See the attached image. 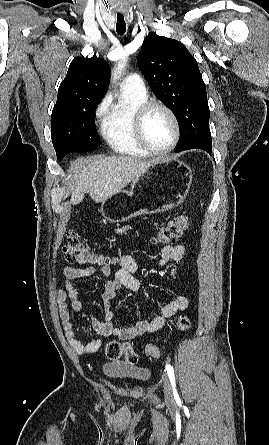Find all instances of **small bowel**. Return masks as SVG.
Segmentation results:
<instances>
[{"instance_id":"c3829d8e","label":"small bowel","mask_w":269,"mask_h":445,"mask_svg":"<svg viewBox=\"0 0 269 445\" xmlns=\"http://www.w3.org/2000/svg\"><path fill=\"white\" fill-rule=\"evenodd\" d=\"M128 227L119 229V232L127 230ZM185 255V247L181 244L175 246H165L160 253L159 265L169 266V275L176 277L175 264L181 261ZM119 269L111 276L110 267L73 268L66 266L63 268L64 289L57 291L59 315L64 329L65 337L69 345L77 354L93 353L100 349L101 341L93 339L88 342L80 340L75 333V325L71 321V312L81 313L83 303L80 300L79 288L73 283L74 280L84 279L99 272L105 279L103 293V320L97 319L92 312L91 323L93 330L103 336H115L120 340H129L146 333L161 329L166 320L174 316L177 312L186 310L189 306V299L185 295L171 298L162 307L161 312L151 320H143L127 328H119L113 324L115 314L112 301L117 297L121 289L137 291L140 288V281L136 274L140 271V265L131 256L121 254L118 257ZM68 300V303H67Z\"/></svg>"}]
</instances>
